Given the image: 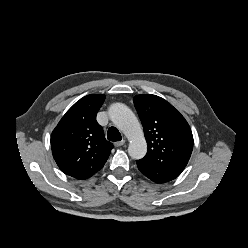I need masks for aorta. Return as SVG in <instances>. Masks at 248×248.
Wrapping results in <instances>:
<instances>
[{
	"mask_svg": "<svg viewBox=\"0 0 248 248\" xmlns=\"http://www.w3.org/2000/svg\"><path fill=\"white\" fill-rule=\"evenodd\" d=\"M108 113L112 122L129 140V156L133 159L143 158L147 152V143L134 113L123 103L112 104Z\"/></svg>",
	"mask_w": 248,
	"mask_h": 248,
	"instance_id": "aorta-1",
	"label": "aorta"
}]
</instances>
